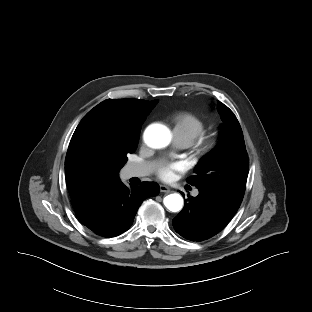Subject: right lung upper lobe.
I'll return each mask as SVG.
<instances>
[{
  "mask_svg": "<svg viewBox=\"0 0 312 312\" xmlns=\"http://www.w3.org/2000/svg\"><path fill=\"white\" fill-rule=\"evenodd\" d=\"M156 103L157 100L108 99L83 117L71 138L65 159L66 184L77 216L86 213L121 181L118 170L114 168L94 169L80 164L77 160L78 150L94 131L110 134L120 145H131L137 139L141 124Z\"/></svg>",
  "mask_w": 312,
  "mask_h": 312,
  "instance_id": "cb5924a9",
  "label": "right lung upper lobe"
}]
</instances>
